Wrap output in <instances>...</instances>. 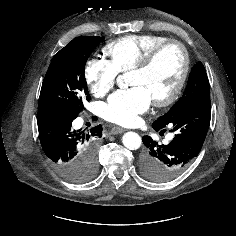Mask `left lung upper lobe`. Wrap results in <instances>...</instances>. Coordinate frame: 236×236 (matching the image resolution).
Wrapping results in <instances>:
<instances>
[{
  "label": "left lung upper lobe",
  "instance_id": "1",
  "mask_svg": "<svg viewBox=\"0 0 236 236\" xmlns=\"http://www.w3.org/2000/svg\"><path fill=\"white\" fill-rule=\"evenodd\" d=\"M205 97H210L209 81L203 64L199 62L192 68L183 96L166 114L159 117L153 126L165 127L176 115Z\"/></svg>",
  "mask_w": 236,
  "mask_h": 236
}]
</instances>
